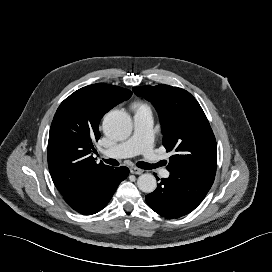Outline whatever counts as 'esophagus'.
I'll list each match as a JSON object with an SVG mask.
<instances>
[{"mask_svg": "<svg viewBox=\"0 0 272 272\" xmlns=\"http://www.w3.org/2000/svg\"><path fill=\"white\" fill-rule=\"evenodd\" d=\"M130 172L132 174H136V175H139V174H142L143 173V170L142 169H139L137 167H131L130 168Z\"/></svg>", "mask_w": 272, "mask_h": 272, "instance_id": "34e87169", "label": "esophagus"}]
</instances>
